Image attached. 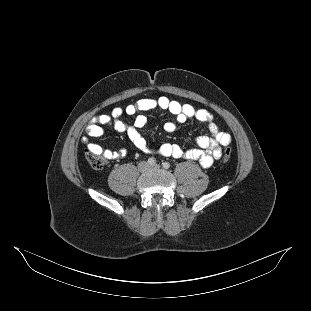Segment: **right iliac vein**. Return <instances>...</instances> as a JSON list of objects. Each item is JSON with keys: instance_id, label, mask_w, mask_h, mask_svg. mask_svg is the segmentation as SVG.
I'll use <instances>...</instances> for the list:
<instances>
[{"instance_id": "63e3f726", "label": "right iliac vein", "mask_w": 311, "mask_h": 311, "mask_svg": "<svg viewBox=\"0 0 311 311\" xmlns=\"http://www.w3.org/2000/svg\"><path fill=\"white\" fill-rule=\"evenodd\" d=\"M148 168H149V165L146 163V162H142V163H140V165H139V170L140 171H146V170H148Z\"/></svg>"}]
</instances>
